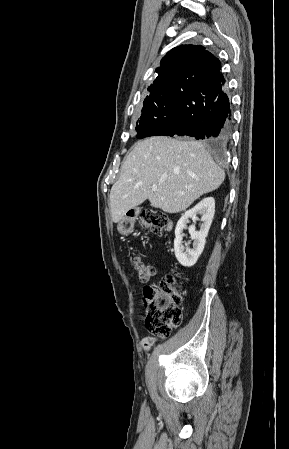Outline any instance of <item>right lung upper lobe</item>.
<instances>
[{
  "label": "right lung upper lobe",
  "instance_id": "obj_1",
  "mask_svg": "<svg viewBox=\"0 0 289 449\" xmlns=\"http://www.w3.org/2000/svg\"><path fill=\"white\" fill-rule=\"evenodd\" d=\"M219 70L221 62L203 46H177L162 58L156 69L157 77L148 87L149 96L165 92L173 94L176 82L210 80Z\"/></svg>",
  "mask_w": 289,
  "mask_h": 449
}]
</instances>
